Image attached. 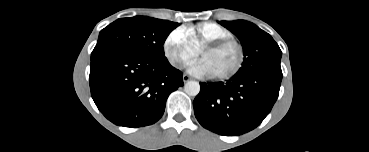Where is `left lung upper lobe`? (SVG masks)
Instances as JSON below:
<instances>
[{
    "mask_svg": "<svg viewBox=\"0 0 369 152\" xmlns=\"http://www.w3.org/2000/svg\"><path fill=\"white\" fill-rule=\"evenodd\" d=\"M241 41L244 61L237 75L247 76L259 72L282 73V52L273 38L255 24L245 21H218Z\"/></svg>",
    "mask_w": 369,
    "mask_h": 152,
    "instance_id": "left-lung-upper-lobe-1",
    "label": "left lung upper lobe"
}]
</instances>
